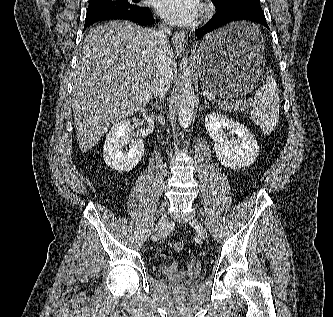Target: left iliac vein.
<instances>
[{
	"instance_id": "left-iliac-vein-1",
	"label": "left iliac vein",
	"mask_w": 333,
	"mask_h": 317,
	"mask_svg": "<svg viewBox=\"0 0 333 317\" xmlns=\"http://www.w3.org/2000/svg\"><path fill=\"white\" fill-rule=\"evenodd\" d=\"M189 224L196 229L198 234L203 238H207V232L203 224L194 217L188 219Z\"/></svg>"
}]
</instances>
